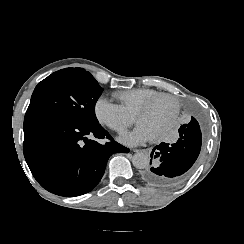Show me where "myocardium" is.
Instances as JSON below:
<instances>
[{
    "label": "myocardium",
    "instance_id": "obj_1",
    "mask_svg": "<svg viewBox=\"0 0 244 244\" xmlns=\"http://www.w3.org/2000/svg\"><path fill=\"white\" fill-rule=\"evenodd\" d=\"M127 90L128 91L129 90H132V88L131 89H127ZM127 90H125V91H127ZM163 101L170 102L172 104V106H173V111H171V113H170L171 115L165 120L166 125H167V128H168V126H170L173 123V121H174V119L176 117V113H177V110H178V106H179L177 100L174 97L170 96V95H162L161 97H156V98L154 97L153 99H151L149 101L150 104L146 101L142 105L143 107L140 108L135 113V117H136L137 123H140V121L138 119V114H140V113H147V110L153 108L156 105V103H159V102L162 103ZM162 136H161V138H162Z\"/></svg>",
    "mask_w": 244,
    "mask_h": 244
}]
</instances>
